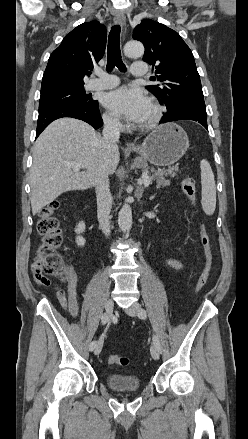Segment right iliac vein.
Listing matches in <instances>:
<instances>
[{
	"instance_id": "right-iliac-vein-1",
	"label": "right iliac vein",
	"mask_w": 248,
	"mask_h": 439,
	"mask_svg": "<svg viewBox=\"0 0 248 439\" xmlns=\"http://www.w3.org/2000/svg\"><path fill=\"white\" fill-rule=\"evenodd\" d=\"M113 308H114V302H113V300H112V299H108V300L106 301V304H105L106 315H107L108 317H110V316L112 315ZM102 344H103L102 342H99V343L95 346V348L93 349V351H94V355H99V354H100V352H101V350H102Z\"/></svg>"
}]
</instances>
